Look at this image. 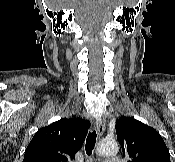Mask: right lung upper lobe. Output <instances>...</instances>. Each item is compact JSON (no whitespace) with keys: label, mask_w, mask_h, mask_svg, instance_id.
Listing matches in <instances>:
<instances>
[{"label":"right lung upper lobe","mask_w":175,"mask_h":162,"mask_svg":"<svg viewBox=\"0 0 175 162\" xmlns=\"http://www.w3.org/2000/svg\"><path fill=\"white\" fill-rule=\"evenodd\" d=\"M90 123L63 118L38 130L25 151L23 162H68L81 148Z\"/></svg>","instance_id":"1"}]
</instances>
